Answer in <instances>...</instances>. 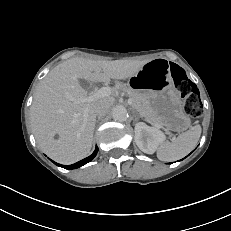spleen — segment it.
Here are the masks:
<instances>
[{
  "mask_svg": "<svg viewBox=\"0 0 231 231\" xmlns=\"http://www.w3.org/2000/svg\"><path fill=\"white\" fill-rule=\"evenodd\" d=\"M201 135L200 125L180 134L172 142H164L157 149V158L161 161H175L186 156L197 144Z\"/></svg>",
  "mask_w": 231,
  "mask_h": 231,
  "instance_id": "spleen-1",
  "label": "spleen"
}]
</instances>
